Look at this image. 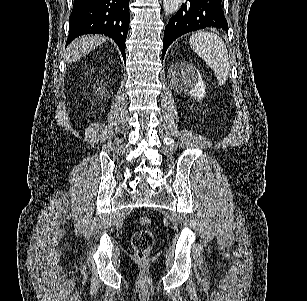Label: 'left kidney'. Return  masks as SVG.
Listing matches in <instances>:
<instances>
[{
    "label": "left kidney",
    "instance_id": "5707ae66",
    "mask_svg": "<svg viewBox=\"0 0 307 301\" xmlns=\"http://www.w3.org/2000/svg\"><path fill=\"white\" fill-rule=\"evenodd\" d=\"M175 80L174 86H178V90L191 94L194 98L201 100L205 96V84L202 80V76L195 68L194 64L190 62H179V64H173Z\"/></svg>",
    "mask_w": 307,
    "mask_h": 301
}]
</instances>
